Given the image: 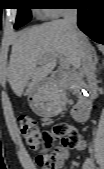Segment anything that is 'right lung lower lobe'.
Wrapping results in <instances>:
<instances>
[{"instance_id":"obj_1","label":"right lung lower lobe","mask_w":104,"mask_h":169,"mask_svg":"<svg viewBox=\"0 0 104 169\" xmlns=\"http://www.w3.org/2000/svg\"><path fill=\"white\" fill-rule=\"evenodd\" d=\"M78 27L91 39L104 44V0H76Z\"/></svg>"}]
</instances>
